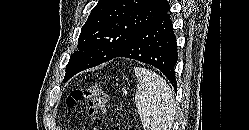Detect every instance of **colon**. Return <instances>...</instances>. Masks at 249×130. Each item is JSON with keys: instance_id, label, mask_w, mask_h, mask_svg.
I'll return each mask as SVG.
<instances>
[{"instance_id": "colon-1", "label": "colon", "mask_w": 249, "mask_h": 130, "mask_svg": "<svg viewBox=\"0 0 249 130\" xmlns=\"http://www.w3.org/2000/svg\"><path fill=\"white\" fill-rule=\"evenodd\" d=\"M85 99L88 102V117L91 122L101 119L105 111L107 95L97 84L77 88L71 91L66 99L68 107H73L78 101Z\"/></svg>"}]
</instances>
